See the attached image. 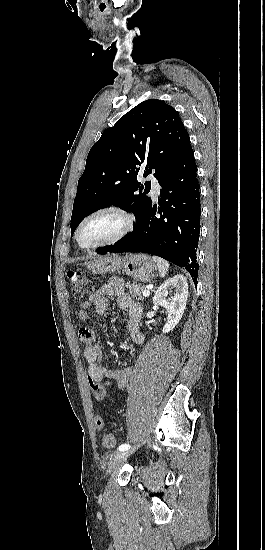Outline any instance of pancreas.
Instances as JSON below:
<instances>
[{
	"mask_svg": "<svg viewBox=\"0 0 265 550\" xmlns=\"http://www.w3.org/2000/svg\"><path fill=\"white\" fill-rule=\"evenodd\" d=\"M126 288L128 289V292L132 298L143 300V292L146 290L145 286L137 283L128 282L126 284Z\"/></svg>",
	"mask_w": 265,
	"mask_h": 550,
	"instance_id": "1",
	"label": "pancreas"
}]
</instances>
